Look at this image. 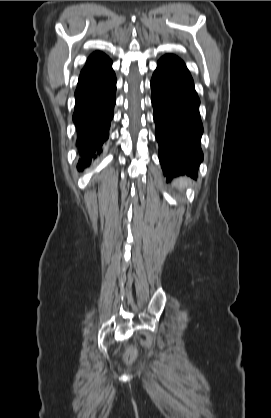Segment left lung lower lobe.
<instances>
[{"label":"left lung lower lobe","instance_id":"0a47b994","mask_svg":"<svg viewBox=\"0 0 271 418\" xmlns=\"http://www.w3.org/2000/svg\"><path fill=\"white\" fill-rule=\"evenodd\" d=\"M152 105L159 144V160L167 180L187 174L197 177L203 153L200 100L184 62L163 56L151 79Z\"/></svg>","mask_w":271,"mask_h":418}]
</instances>
